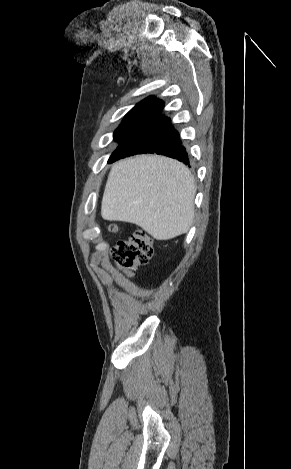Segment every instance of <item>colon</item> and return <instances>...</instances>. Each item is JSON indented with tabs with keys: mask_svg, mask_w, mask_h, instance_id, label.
<instances>
[{
	"mask_svg": "<svg viewBox=\"0 0 291 469\" xmlns=\"http://www.w3.org/2000/svg\"><path fill=\"white\" fill-rule=\"evenodd\" d=\"M109 230L115 232L117 227L111 225ZM152 255V239L143 230H138L129 238L118 241L111 252L114 262L128 275H132L139 266L147 264Z\"/></svg>",
	"mask_w": 291,
	"mask_h": 469,
	"instance_id": "1",
	"label": "colon"
}]
</instances>
